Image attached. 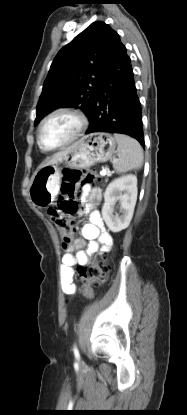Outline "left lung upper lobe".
<instances>
[{
  "instance_id": "1",
  "label": "left lung upper lobe",
  "mask_w": 187,
  "mask_h": 415,
  "mask_svg": "<svg viewBox=\"0 0 187 415\" xmlns=\"http://www.w3.org/2000/svg\"><path fill=\"white\" fill-rule=\"evenodd\" d=\"M104 22H94L54 58L36 107L35 125L57 108H80L90 119L95 92L116 38Z\"/></svg>"
}]
</instances>
